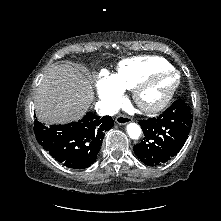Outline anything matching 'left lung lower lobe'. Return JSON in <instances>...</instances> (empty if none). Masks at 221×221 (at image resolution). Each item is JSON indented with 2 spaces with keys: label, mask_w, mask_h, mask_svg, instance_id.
<instances>
[{
  "label": "left lung lower lobe",
  "mask_w": 221,
  "mask_h": 221,
  "mask_svg": "<svg viewBox=\"0 0 221 221\" xmlns=\"http://www.w3.org/2000/svg\"><path fill=\"white\" fill-rule=\"evenodd\" d=\"M192 118L189 105L183 100H176L158 117L140 120L145 138L134 146L135 154L148 166L167 162L186 142Z\"/></svg>",
  "instance_id": "0a47b994"
}]
</instances>
